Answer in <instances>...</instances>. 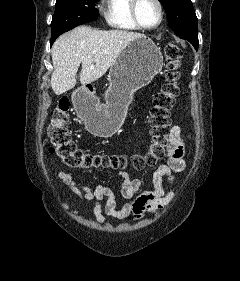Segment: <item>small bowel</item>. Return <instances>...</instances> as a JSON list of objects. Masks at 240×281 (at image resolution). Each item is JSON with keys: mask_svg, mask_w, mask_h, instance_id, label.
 I'll list each match as a JSON object with an SVG mask.
<instances>
[{"mask_svg": "<svg viewBox=\"0 0 240 281\" xmlns=\"http://www.w3.org/2000/svg\"><path fill=\"white\" fill-rule=\"evenodd\" d=\"M167 146L166 162L154 171L151 182V190H142L143 182L131 178L125 171L110 168L122 179L120 194L127 199L123 206L117 207L113 190L105 185L91 187L88 184L78 182L71 174L58 172V181L75 194L83 205H92V215L96 222L103 224L106 216L117 220H124L130 216L136 220L143 219L149 214L156 213L168 205L174 197L172 189L165 191L164 179L173 183L174 173L182 172L186 168L184 159L185 143L181 128L177 125L170 129ZM62 206L68 210L69 206Z\"/></svg>", "mask_w": 240, "mask_h": 281, "instance_id": "1", "label": "small bowel"}]
</instances>
